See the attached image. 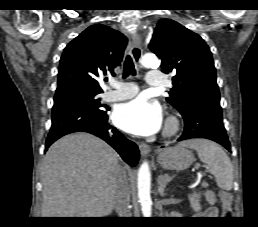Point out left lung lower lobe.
I'll use <instances>...</instances> for the list:
<instances>
[{"instance_id": "obj_1", "label": "left lung lower lobe", "mask_w": 258, "mask_h": 227, "mask_svg": "<svg viewBox=\"0 0 258 227\" xmlns=\"http://www.w3.org/2000/svg\"><path fill=\"white\" fill-rule=\"evenodd\" d=\"M183 118L185 129L178 141L191 138H206L221 144L228 151L231 150L223 125L222 110L219 105H199Z\"/></svg>"}]
</instances>
